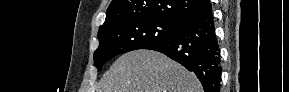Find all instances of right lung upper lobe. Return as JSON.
<instances>
[{"label":"right lung upper lobe","mask_w":289,"mask_h":92,"mask_svg":"<svg viewBox=\"0 0 289 92\" xmlns=\"http://www.w3.org/2000/svg\"><path fill=\"white\" fill-rule=\"evenodd\" d=\"M211 8L209 0H112L99 29L114 23L147 17L182 22Z\"/></svg>","instance_id":"right-lung-upper-lobe-1"}]
</instances>
